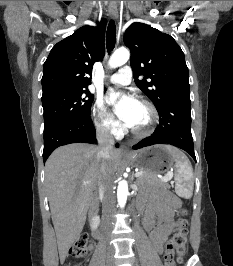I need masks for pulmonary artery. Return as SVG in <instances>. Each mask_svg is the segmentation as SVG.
Wrapping results in <instances>:
<instances>
[{"label":"pulmonary artery","mask_w":233,"mask_h":266,"mask_svg":"<svg viewBox=\"0 0 233 266\" xmlns=\"http://www.w3.org/2000/svg\"><path fill=\"white\" fill-rule=\"evenodd\" d=\"M132 79L130 66H123L118 72L109 76L108 80L115 85H128Z\"/></svg>","instance_id":"e3ab8cb5"}]
</instances>
